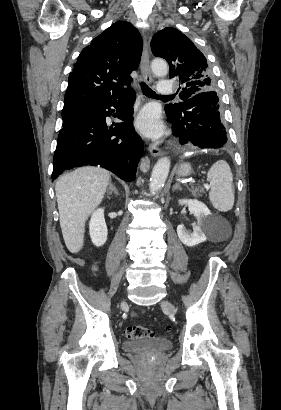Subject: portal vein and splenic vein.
Here are the masks:
<instances>
[{"label":"portal vein and splenic vein","mask_w":281,"mask_h":410,"mask_svg":"<svg viewBox=\"0 0 281 410\" xmlns=\"http://www.w3.org/2000/svg\"><path fill=\"white\" fill-rule=\"evenodd\" d=\"M204 187H205L206 189H209V185H208V184H204Z\"/></svg>","instance_id":"portal-vein-and-splenic-vein-1"}]
</instances>
